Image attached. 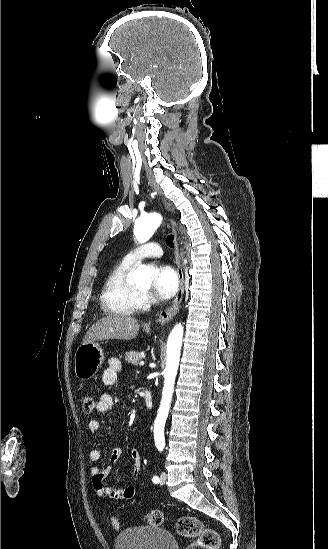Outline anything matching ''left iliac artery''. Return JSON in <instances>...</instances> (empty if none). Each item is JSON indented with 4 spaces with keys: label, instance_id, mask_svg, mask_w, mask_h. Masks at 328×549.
<instances>
[{
    "label": "left iliac artery",
    "instance_id": "left-iliac-artery-1",
    "mask_svg": "<svg viewBox=\"0 0 328 549\" xmlns=\"http://www.w3.org/2000/svg\"><path fill=\"white\" fill-rule=\"evenodd\" d=\"M152 481H153L154 483H158V482H159V478H158L157 476H154L153 479H152Z\"/></svg>",
    "mask_w": 328,
    "mask_h": 549
}]
</instances>
